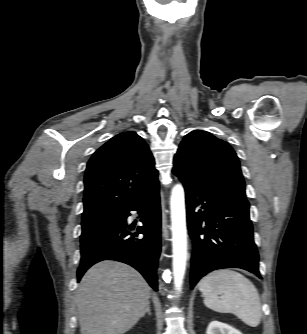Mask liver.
Here are the masks:
<instances>
[{"mask_svg":"<svg viewBox=\"0 0 307 334\" xmlns=\"http://www.w3.org/2000/svg\"><path fill=\"white\" fill-rule=\"evenodd\" d=\"M151 288L131 266L111 260L92 266L77 290L81 334H124L142 317Z\"/></svg>","mask_w":307,"mask_h":334,"instance_id":"liver-1","label":"liver"}]
</instances>
